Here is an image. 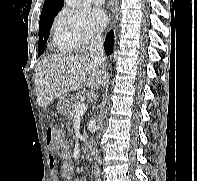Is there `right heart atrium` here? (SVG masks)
<instances>
[{
    "instance_id": "right-heart-atrium-1",
    "label": "right heart atrium",
    "mask_w": 197,
    "mask_h": 181,
    "mask_svg": "<svg viewBox=\"0 0 197 181\" xmlns=\"http://www.w3.org/2000/svg\"><path fill=\"white\" fill-rule=\"evenodd\" d=\"M55 28L77 52L88 51L101 39L100 33L89 23L86 15L70 8H63L58 13Z\"/></svg>"
}]
</instances>
